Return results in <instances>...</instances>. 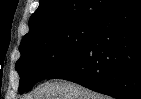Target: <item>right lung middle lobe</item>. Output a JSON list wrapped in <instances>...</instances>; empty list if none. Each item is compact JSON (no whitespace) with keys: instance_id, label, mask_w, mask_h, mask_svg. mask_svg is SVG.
Instances as JSON below:
<instances>
[{"instance_id":"dd1d6c3e","label":"right lung middle lobe","mask_w":141,"mask_h":99,"mask_svg":"<svg viewBox=\"0 0 141 99\" xmlns=\"http://www.w3.org/2000/svg\"><path fill=\"white\" fill-rule=\"evenodd\" d=\"M98 25L99 21H80L22 42L16 63L19 92L29 91L36 82L62 69L88 44Z\"/></svg>"}]
</instances>
